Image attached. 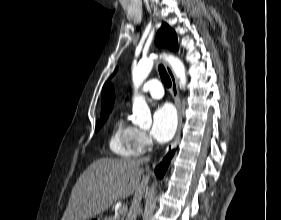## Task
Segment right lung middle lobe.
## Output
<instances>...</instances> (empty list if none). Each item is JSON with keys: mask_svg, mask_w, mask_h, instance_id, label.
Listing matches in <instances>:
<instances>
[{"mask_svg": "<svg viewBox=\"0 0 281 220\" xmlns=\"http://www.w3.org/2000/svg\"><path fill=\"white\" fill-rule=\"evenodd\" d=\"M107 116H108V115L101 116V119L96 123V129H95L96 132H97V131L100 129V127L104 124V122H105L106 119H107Z\"/></svg>", "mask_w": 281, "mask_h": 220, "instance_id": "obj_1", "label": "right lung middle lobe"}]
</instances>
